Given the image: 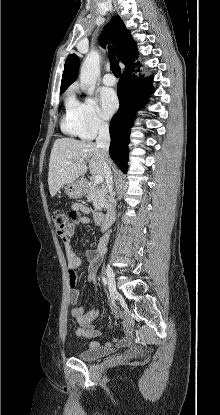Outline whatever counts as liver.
Masks as SVG:
<instances>
[{
  "label": "liver",
  "mask_w": 220,
  "mask_h": 415,
  "mask_svg": "<svg viewBox=\"0 0 220 415\" xmlns=\"http://www.w3.org/2000/svg\"><path fill=\"white\" fill-rule=\"evenodd\" d=\"M104 160L109 163L108 156L106 157L91 141H79L74 138L57 139L49 160L48 185L51 196L54 197L62 186L74 182L87 172L88 166L85 161H89L92 175L104 177Z\"/></svg>",
  "instance_id": "1"
}]
</instances>
